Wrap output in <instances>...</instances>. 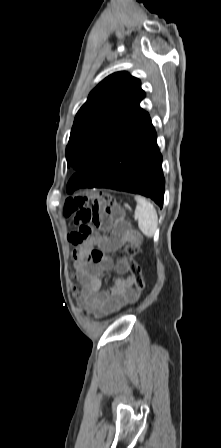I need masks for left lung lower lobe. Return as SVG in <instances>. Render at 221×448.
Returning a JSON list of instances; mask_svg holds the SVG:
<instances>
[{"label": "left lung lower lobe", "instance_id": "obj_1", "mask_svg": "<svg viewBox=\"0 0 221 448\" xmlns=\"http://www.w3.org/2000/svg\"><path fill=\"white\" fill-rule=\"evenodd\" d=\"M151 119L120 143L98 166L79 170L68 182L69 194L84 188H110L150 197L161 208L164 197L162 155Z\"/></svg>", "mask_w": 221, "mask_h": 448}]
</instances>
